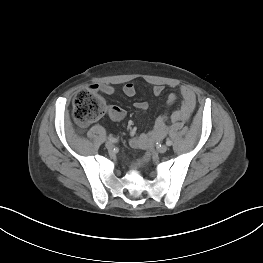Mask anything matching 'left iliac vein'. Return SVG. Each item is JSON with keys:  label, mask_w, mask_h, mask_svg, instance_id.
Masks as SVG:
<instances>
[{"label": "left iliac vein", "mask_w": 263, "mask_h": 263, "mask_svg": "<svg viewBox=\"0 0 263 263\" xmlns=\"http://www.w3.org/2000/svg\"><path fill=\"white\" fill-rule=\"evenodd\" d=\"M157 150L159 153H165L168 150V147L166 145H161Z\"/></svg>", "instance_id": "4c4485c4"}]
</instances>
